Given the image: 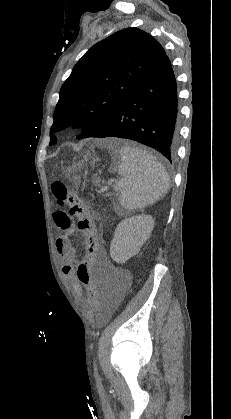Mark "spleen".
<instances>
[{"label":"spleen","mask_w":231,"mask_h":419,"mask_svg":"<svg viewBox=\"0 0 231 419\" xmlns=\"http://www.w3.org/2000/svg\"><path fill=\"white\" fill-rule=\"evenodd\" d=\"M119 200L125 210H143L168 191L169 176L164 166L150 153L132 146L119 150Z\"/></svg>","instance_id":"1"}]
</instances>
